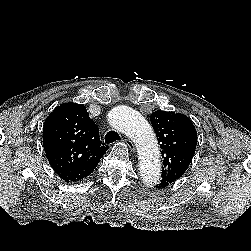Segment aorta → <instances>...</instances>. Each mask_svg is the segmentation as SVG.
Here are the masks:
<instances>
[{"instance_id": "obj_1", "label": "aorta", "mask_w": 251, "mask_h": 251, "mask_svg": "<svg viewBox=\"0 0 251 251\" xmlns=\"http://www.w3.org/2000/svg\"><path fill=\"white\" fill-rule=\"evenodd\" d=\"M108 122L136 142L143 182L148 186L158 182L161 176L160 153L155 134L146 119L127 106H118L109 112Z\"/></svg>"}]
</instances>
